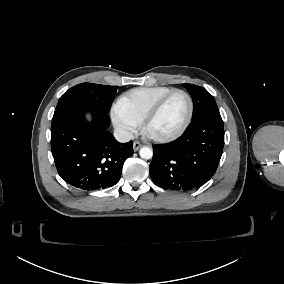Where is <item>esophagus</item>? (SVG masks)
I'll use <instances>...</instances> for the list:
<instances>
[{"mask_svg":"<svg viewBox=\"0 0 284 284\" xmlns=\"http://www.w3.org/2000/svg\"><path fill=\"white\" fill-rule=\"evenodd\" d=\"M141 147V143L139 141L133 142V149L136 152Z\"/></svg>","mask_w":284,"mask_h":284,"instance_id":"obj_1","label":"esophagus"}]
</instances>
